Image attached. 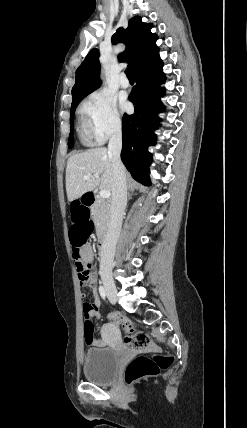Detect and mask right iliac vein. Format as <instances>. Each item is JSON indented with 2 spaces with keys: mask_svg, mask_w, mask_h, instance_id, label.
Returning a JSON list of instances; mask_svg holds the SVG:
<instances>
[{
  "mask_svg": "<svg viewBox=\"0 0 247 428\" xmlns=\"http://www.w3.org/2000/svg\"><path fill=\"white\" fill-rule=\"evenodd\" d=\"M102 282L106 291V294L109 298V300L112 303H115L117 300V289L115 286V283L112 279V276L108 272H102L101 273Z\"/></svg>",
  "mask_w": 247,
  "mask_h": 428,
  "instance_id": "right-iliac-vein-1",
  "label": "right iliac vein"
}]
</instances>
